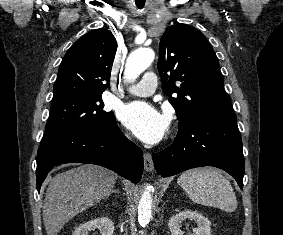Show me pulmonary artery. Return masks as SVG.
I'll list each match as a JSON object with an SVG mask.
<instances>
[{"label": "pulmonary artery", "mask_w": 283, "mask_h": 235, "mask_svg": "<svg viewBox=\"0 0 283 235\" xmlns=\"http://www.w3.org/2000/svg\"><path fill=\"white\" fill-rule=\"evenodd\" d=\"M157 85V76L153 72H147L143 75L141 81L131 86L128 92L135 96L146 97L155 92Z\"/></svg>", "instance_id": "obj_1"}]
</instances>
